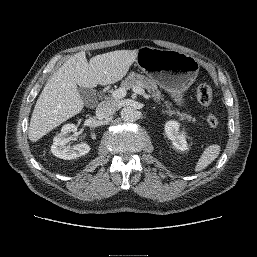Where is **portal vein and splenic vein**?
<instances>
[{"mask_svg": "<svg viewBox=\"0 0 257 257\" xmlns=\"http://www.w3.org/2000/svg\"><path fill=\"white\" fill-rule=\"evenodd\" d=\"M133 91L137 94L144 95L145 90L140 86H134ZM126 96V90L124 88L116 89L112 92V97L116 99H120Z\"/></svg>", "mask_w": 257, "mask_h": 257, "instance_id": "18ae733b", "label": "portal vein and splenic vein"}]
</instances>
